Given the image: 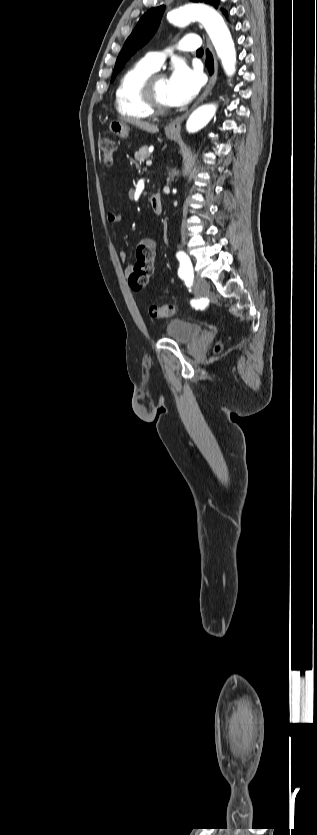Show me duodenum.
<instances>
[{
  "instance_id": "1",
  "label": "duodenum",
  "mask_w": 317,
  "mask_h": 835,
  "mask_svg": "<svg viewBox=\"0 0 317 835\" xmlns=\"http://www.w3.org/2000/svg\"><path fill=\"white\" fill-rule=\"evenodd\" d=\"M150 207L154 213L160 214L162 212V198L159 193H154L150 198Z\"/></svg>"
}]
</instances>
